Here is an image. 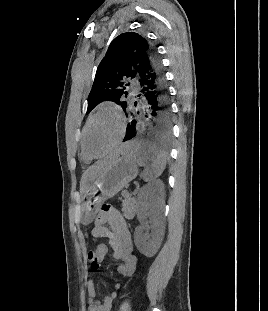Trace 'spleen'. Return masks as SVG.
I'll return each instance as SVG.
<instances>
[{"mask_svg":"<svg viewBox=\"0 0 268 311\" xmlns=\"http://www.w3.org/2000/svg\"><path fill=\"white\" fill-rule=\"evenodd\" d=\"M125 147H140L137 149L138 155H143L137 159L139 166H144L143 178L146 182H151L159 177L165 169L166 158L156 147L145 144L144 140H125ZM151 162L148 166L147 163Z\"/></svg>","mask_w":268,"mask_h":311,"instance_id":"spleen-1","label":"spleen"}]
</instances>
